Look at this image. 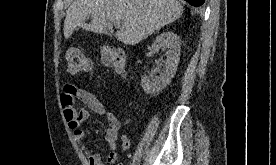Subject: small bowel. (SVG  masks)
I'll list each match as a JSON object with an SVG mask.
<instances>
[{
  "instance_id": "obj_1",
  "label": "small bowel",
  "mask_w": 276,
  "mask_h": 165,
  "mask_svg": "<svg viewBox=\"0 0 276 165\" xmlns=\"http://www.w3.org/2000/svg\"><path fill=\"white\" fill-rule=\"evenodd\" d=\"M76 100L81 101L85 105V108L77 110L74 106ZM60 102L68 127L72 130L75 141L85 151L89 165L115 164L118 158L116 147L121 127L119 119L112 112L108 111L92 92L72 84L64 86ZM90 112L104 117L107 122V127L104 130V139L109 147L106 164L102 161L101 156L95 153L85 142V132L82 130V124L89 118ZM121 142L123 150H127L130 147L128 137L122 136Z\"/></svg>"
}]
</instances>
